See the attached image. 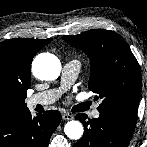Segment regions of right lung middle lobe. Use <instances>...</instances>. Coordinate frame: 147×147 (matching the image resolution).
<instances>
[{
  "mask_svg": "<svg viewBox=\"0 0 147 147\" xmlns=\"http://www.w3.org/2000/svg\"><path fill=\"white\" fill-rule=\"evenodd\" d=\"M16 98H17V94L13 89L0 83V106L2 107L9 106L16 100Z\"/></svg>",
  "mask_w": 147,
  "mask_h": 147,
  "instance_id": "1",
  "label": "right lung middle lobe"
}]
</instances>
